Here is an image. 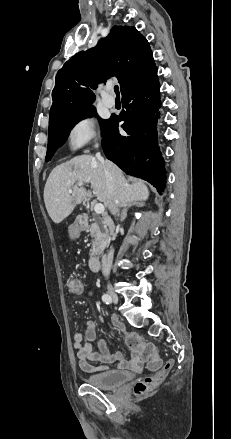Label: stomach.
<instances>
[{"label": "stomach", "mask_w": 231, "mask_h": 439, "mask_svg": "<svg viewBox=\"0 0 231 439\" xmlns=\"http://www.w3.org/2000/svg\"><path fill=\"white\" fill-rule=\"evenodd\" d=\"M80 231H81V227H80V225L77 222L72 224L69 227V236H70V238L74 239V238L78 237Z\"/></svg>", "instance_id": "obj_1"}]
</instances>
